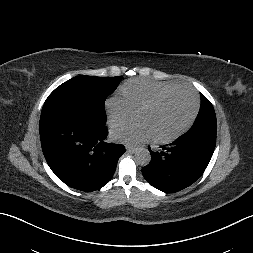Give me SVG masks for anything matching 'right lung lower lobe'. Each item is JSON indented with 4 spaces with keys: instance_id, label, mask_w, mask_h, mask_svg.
<instances>
[{
    "instance_id": "right-lung-lower-lobe-1",
    "label": "right lung lower lobe",
    "mask_w": 253,
    "mask_h": 253,
    "mask_svg": "<svg viewBox=\"0 0 253 253\" xmlns=\"http://www.w3.org/2000/svg\"><path fill=\"white\" fill-rule=\"evenodd\" d=\"M41 146L54 174L68 186L91 192L112 178L122 144L106 143L105 125L67 112L41 115Z\"/></svg>"
}]
</instances>
